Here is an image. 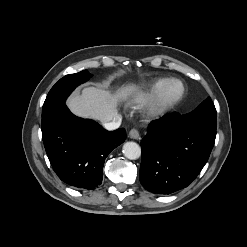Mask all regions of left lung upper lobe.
Segmentation results:
<instances>
[{"label":"left lung upper lobe","mask_w":247,"mask_h":247,"mask_svg":"<svg viewBox=\"0 0 247 247\" xmlns=\"http://www.w3.org/2000/svg\"><path fill=\"white\" fill-rule=\"evenodd\" d=\"M216 109L208 97L194 111L184 115V123L200 128L216 130Z\"/></svg>","instance_id":"obj_1"}]
</instances>
